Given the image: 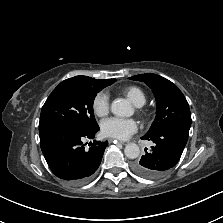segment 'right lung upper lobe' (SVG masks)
Returning <instances> with one entry per match:
<instances>
[{
    "instance_id": "right-lung-upper-lobe-1",
    "label": "right lung upper lobe",
    "mask_w": 223,
    "mask_h": 223,
    "mask_svg": "<svg viewBox=\"0 0 223 223\" xmlns=\"http://www.w3.org/2000/svg\"><path fill=\"white\" fill-rule=\"evenodd\" d=\"M70 80L100 81V80H97V79H94L91 77H87V76H76V77L70 78ZM107 80H109V79H107Z\"/></svg>"
}]
</instances>
